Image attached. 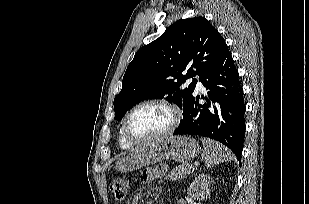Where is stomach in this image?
Returning <instances> with one entry per match:
<instances>
[{
    "label": "stomach",
    "instance_id": "0dacf381",
    "mask_svg": "<svg viewBox=\"0 0 309 204\" xmlns=\"http://www.w3.org/2000/svg\"><path fill=\"white\" fill-rule=\"evenodd\" d=\"M200 153L199 143L188 136H170L142 145L133 153L119 159L116 170L126 173L172 159L187 162Z\"/></svg>",
    "mask_w": 309,
    "mask_h": 204
}]
</instances>
